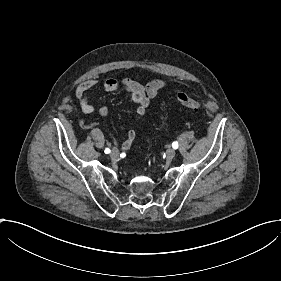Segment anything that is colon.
Returning a JSON list of instances; mask_svg holds the SVG:
<instances>
[{
    "mask_svg": "<svg viewBox=\"0 0 281 281\" xmlns=\"http://www.w3.org/2000/svg\"><path fill=\"white\" fill-rule=\"evenodd\" d=\"M177 100L180 106L185 110L199 112L202 109L201 102L186 93H179L177 96Z\"/></svg>",
    "mask_w": 281,
    "mask_h": 281,
    "instance_id": "5ec220e1",
    "label": "colon"
}]
</instances>
